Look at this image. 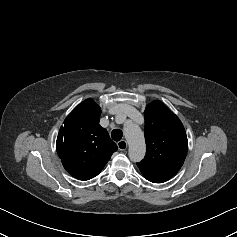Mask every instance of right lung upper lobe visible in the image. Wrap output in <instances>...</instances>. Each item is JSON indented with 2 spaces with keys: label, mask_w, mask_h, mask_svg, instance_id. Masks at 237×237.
<instances>
[{
  "label": "right lung upper lobe",
  "mask_w": 237,
  "mask_h": 237,
  "mask_svg": "<svg viewBox=\"0 0 237 237\" xmlns=\"http://www.w3.org/2000/svg\"><path fill=\"white\" fill-rule=\"evenodd\" d=\"M100 107L86 99L64 120L56 149L65 170L79 180L97 176L117 150L106 129L99 124Z\"/></svg>",
  "instance_id": "1"
}]
</instances>
